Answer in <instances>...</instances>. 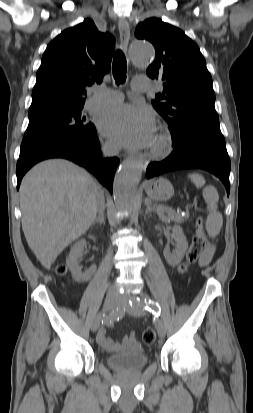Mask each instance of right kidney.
<instances>
[{"label":"right kidney","instance_id":"obj_1","mask_svg":"<svg viewBox=\"0 0 253 413\" xmlns=\"http://www.w3.org/2000/svg\"><path fill=\"white\" fill-rule=\"evenodd\" d=\"M91 239L95 240L93 236H89ZM86 247V241L80 240L75 243L71 248L70 254L66 259V264L69 267L73 277L77 281H88L96 271V266H92L88 271L82 272V267L78 263V260L82 257L84 248Z\"/></svg>","mask_w":253,"mask_h":413}]
</instances>
